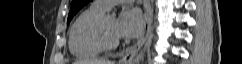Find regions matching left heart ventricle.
<instances>
[{"label": "left heart ventricle", "instance_id": "b2bd125f", "mask_svg": "<svg viewBox=\"0 0 242 64\" xmlns=\"http://www.w3.org/2000/svg\"><path fill=\"white\" fill-rule=\"evenodd\" d=\"M116 20L107 16L104 20L103 26V33L107 40H112L116 37L115 34V27H116Z\"/></svg>", "mask_w": 242, "mask_h": 64}]
</instances>
